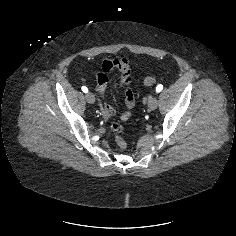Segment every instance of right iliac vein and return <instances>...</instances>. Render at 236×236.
Here are the masks:
<instances>
[{
  "label": "right iliac vein",
  "instance_id": "right-iliac-vein-1",
  "mask_svg": "<svg viewBox=\"0 0 236 236\" xmlns=\"http://www.w3.org/2000/svg\"><path fill=\"white\" fill-rule=\"evenodd\" d=\"M86 100L89 104H94L95 103V96L89 92L86 94Z\"/></svg>",
  "mask_w": 236,
  "mask_h": 236
}]
</instances>
